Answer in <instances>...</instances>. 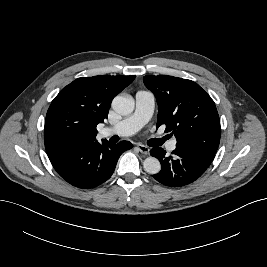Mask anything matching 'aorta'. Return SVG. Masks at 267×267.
Here are the masks:
<instances>
[{"label": "aorta", "mask_w": 267, "mask_h": 267, "mask_svg": "<svg viewBox=\"0 0 267 267\" xmlns=\"http://www.w3.org/2000/svg\"><path fill=\"white\" fill-rule=\"evenodd\" d=\"M134 99L132 97L116 96L112 101V108L120 115H129L134 110ZM144 170L149 174H157L161 170V164L155 157H148L143 162Z\"/></svg>", "instance_id": "762f6f07"}]
</instances>
